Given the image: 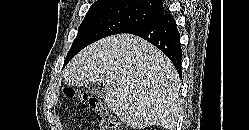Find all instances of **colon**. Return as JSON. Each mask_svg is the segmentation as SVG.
<instances>
[{"instance_id": "colon-1", "label": "colon", "mask_w": 249, "mask_h": 130, "mask_svg": "<svg viewBox=\"0 0 249 130\" xmlns=\"http://www.w3.org/2000/svg\"><path fill=\"white\" fill-rule=\"evenodd\" d=\"M64 94L67 98L80 100L81 103L96 113L99 130H122L120 123L100 98L74 88H65Z\"/></svg>"}]
</instances>
